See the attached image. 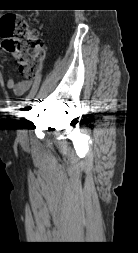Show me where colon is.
<instances>
[{
	"mask_svg": "<svg viewBox=\"0 0 138 253\" xmlns=\"http://www.w3.org/2000/svg\"><path fill=\"white\" fill-rule=\"evenodd\" d=\"M0 36L5 51L15 56L19 72L26 78H34L41 69L45 45L30 32L24 18L17 14L2 16Z\"/></svg>",
	"mask_w": 138,
	"mask_h": 253,
	"instance_id": "5ec220e1",
	"label": "colon"
}]
</instances>
